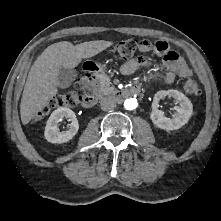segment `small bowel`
I'll list each match as a JSON object with an SVG mask.
<instances>
[{
    "label": "small bowel",
    "instance_id": "1",
    "mask_svg": "<svg viewBox=\"0 0 221 221\" xmlns=\"http://www.w3.org/2000/svg\"><path fill=\"white\" fill-rule=\"evenodd\" d=\"M151 49L154 50L157 56L163 57V66L166 69V73L163 77L165 83H172L176 76L181 78H189L192 76V70L189 68L185 60L175 51L169 50L166 42L158 41L153 45L150 41L143 40L139 48L140 52L145 53ZM148 65V61L143 57L131 59L123 63L121 66V72L124 75H130L136 70ZM155 71H159V68L156 67Z\"/></svg>",
    "mask_w": 221,
    "mask_h": 221
}]
</instances>
